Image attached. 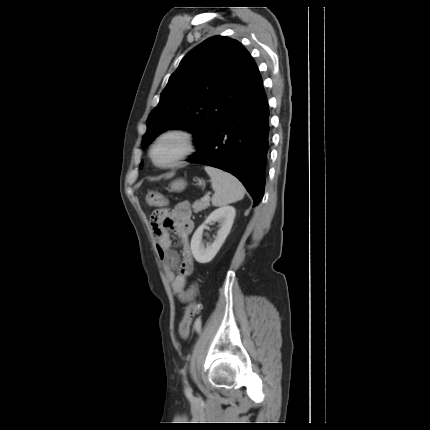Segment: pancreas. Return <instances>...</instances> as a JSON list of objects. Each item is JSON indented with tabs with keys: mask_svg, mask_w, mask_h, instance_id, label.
Here are the masks:
<instances>
[{
	"mask_svg": "<svg viewBox=\"0 0 430 430\" xmlns=\"http://www.w3.org/2000/svg\"><path fill=\"white\" fill-rule=\"evenodd\" d=\"M209 206H210L209 199L208 200L201 199L200 201L197 200L196 202H194L192 205V208H193V211L197 213L202 210H205Z\"/></svg>",
	"mask_w": 430,
	"mask_h": 430,
	"instance_id": "cf45deb5",
	"label": "pancreas"
}]
</instances>
